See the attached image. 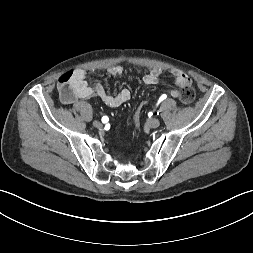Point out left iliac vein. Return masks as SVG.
I'll list each match as a JSON object with an SVG mask.
<instances>
[{
	"label": "left iliac vein",
	"mask_w": 253,
	"mask_h": 253,
	"mask_svg": "<svg viewBox=\"0 0 253 253\" xmlns=\"http://www.w3.org/2000/svg\"><path fill=\"white\" fill-rule=\"evenodd\" d=\"M147 124L150 128H158L160 126V120L157 118H153L149 120Z\"/></svg>",
	"instance_id": "4c4485c4"
}]
</instances>
